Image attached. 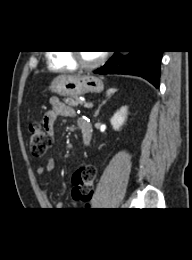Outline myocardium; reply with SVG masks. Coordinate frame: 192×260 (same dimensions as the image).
Listing matches in <instances>:
<instances>
[{
    "label": "myocardium",
    "mask_w": 192,
    "mask_h": 260,
    "mask_svg": "<svg viewBox=\"0 0 192 260\" xmlns=\"http://www.w3.org/2000/svg\"><path fill=\"white\" fill-rule=\"evenodd\" d=\"M70 56L78 67L87 70L97 68L105 61L106 58V54L102 53L96 61L88 63L83 60V58L81 57V53L76 50L71 51Z\"/></svg>",
    "instance_id": "f54148a6"
}]
</instances>
